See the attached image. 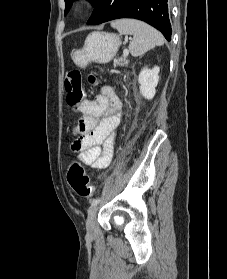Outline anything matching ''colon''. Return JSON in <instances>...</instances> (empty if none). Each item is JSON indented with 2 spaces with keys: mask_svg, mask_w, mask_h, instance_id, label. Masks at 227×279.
<instances>
[{
  "mask_svg": "<svg viewBox=\"0 0 227 279\" xmlns=\"http://www.w3.org/2000/svg\"><path fill=\"white\" fill-rule=\"evenodd\" d=\"M87 81L90 86H95L98 82L97 74H89ZM65 86L67 105L73 110L77 109L84 97L81 73L79 71H70L66 76ZM67 178L69 184L79 197L89 198L92 196L93 186L86 170L79 162L71 164Z\"/></svg>",
  "mask_w": 227,
  "mask_h": 279,
  "instance_id": "1",
  "label": "colon"
}]
</instances>
